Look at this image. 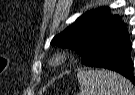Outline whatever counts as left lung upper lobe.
Instances as JSON below:
<instances>
[{
  "label": "left lung upper lobe",
  "mask_w": 135,
  "mask_h": 95,
  "mask_svg": "<svg viewBox=\"0 0 135 95\" xmlns=\"http://www.w3.org/2000/svg\"><path fill=\"white\" fill-rule=\"evenodd\" d=\"M125 28L118 15H110L109 7H101L81 15L72 25L56 35L51 44L75 50L84 63L105 37Z\"/></svg>",
  "instance_id": "5c2ea615"
}]
</instances>
